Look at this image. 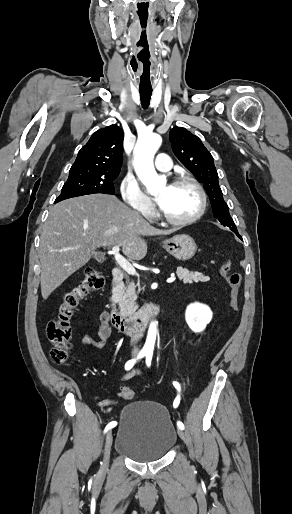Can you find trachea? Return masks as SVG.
Returning <instances> with one entry per match:
<instances>
[{
  "label": "trachea",
  "instance_id": "obj_1",
  "mask_svg": "<svg viewBox=\"0 0 292 514\" xmlns=\"http://www.w3.org/2000/svg\"><path fill=\"white\" fill-rule=\"evenodd\" d=\"M141 105L144 110H146L150 104V98L152 95V90L139 89Z\"/></svg>",
  "mask_w": 292,
  "mask_h": 514
}]
</instances>
